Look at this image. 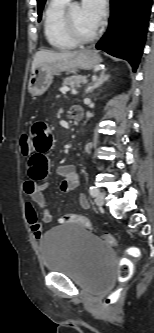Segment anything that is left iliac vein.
Listing matches in <instances>:
<instances>
[{
  "mask_svg": "<svg viewBox=\"0 0 154 333\" xmlns=\"http://www.w3.org/2000/svg\"><path fill=\"white\" fill-rule=\"evenodd\" d=\"M105 194L103 192H98L95 197V203L97 206H102L104 204Z\"/></svg>",
  "mask_w": 154,
  "mask_h": 333,
  "instance_id": "1",
  "label": "left iliac vein"
}]
</instances>
